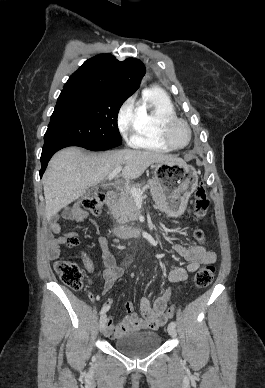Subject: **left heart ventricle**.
Masks as SVG:
<instances>
[{"label": "left heart ventricle", "instance_id": "left-heart-ventricle-1", "mask_svg": "<svg viewBox=\"0 0 265 388\" xmlns=\"http://www.w3.org/2000/svg\"><path fill=\"white\" fill-rule=\"evenodd\" d=\"M171 138L176 145H183L186 142L187 134L182 125L175 124L171 128Z\"/></svg>", "mask_w": 265, "mask_h": 388}]
</instances>
